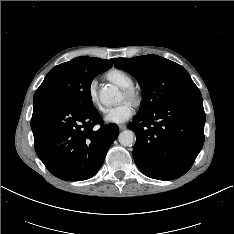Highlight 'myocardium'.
I'll list each match as a JSON object with an SVG mask.
<instances>
[{"label": "myocardium", "mask_w": 234, "mask_h": 234, "mask_svg": "<svg viewBox=\"0 0 234 234\" xmlns=\"http://www.w3.org/2000/svg\"><path fill=\"white\" fill-rule=\"evenodd\" d=\"M122 95L125 100L130 102L133 105H139L141 102V93L139 89L134 86H129L122 89Z\"/></svg>", "instance_id": "f54148a6"}]
</instances>
